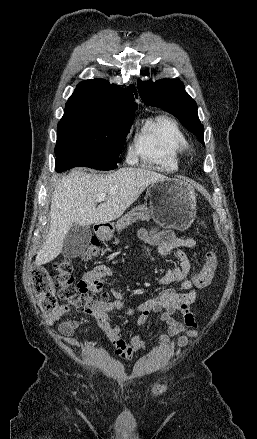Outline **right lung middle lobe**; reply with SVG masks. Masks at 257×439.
<instances>
[{
	"instance_id": "obj_1",
	"label": "right lung middle lobe",
	"mask_w": 257,
	"mask_h": 439,
	"mask_svg": "<svg viewBox=\"0 0 257 439\" xmlns=\"http://www.w3.org/2000/svg\"><path fill=\"white\" fill-rule=\"evenodd\" d=\"M134 113L120 118L90 114L63 116L58 123L55 169L66 171L75 166L112 170L120 162Z\"/></svg>"
}]
</instances>
